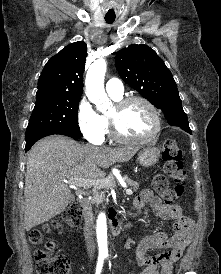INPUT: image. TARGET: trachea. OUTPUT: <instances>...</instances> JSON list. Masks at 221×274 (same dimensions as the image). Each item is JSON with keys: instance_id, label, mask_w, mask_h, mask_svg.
Wrapping results in <instances>:
<instances>
[{"instance_id": "1", "label": "trachea", "mask_w": 221, "mask_h": 274, "mask_svg": "<svg viewBox=\"0 0 221 274\" xmlns=\"http://www.w3.org/2000/svg\"><path fill=\"white\" fill-rule=\"evenodd\" d=\"M115 20V17H110V16H105V21L108 23V24H112Z\"/></svg>"}]
</instances>
